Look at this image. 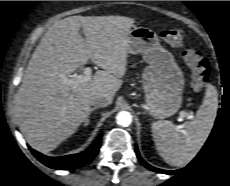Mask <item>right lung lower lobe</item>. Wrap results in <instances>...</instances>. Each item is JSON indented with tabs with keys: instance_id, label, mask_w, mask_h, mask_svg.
<instances>
[{
	"instance_id": "98d812e1",
	"label": "right lung lower lobe",
	"mask_w": 230,
	"mask_h": 186,
	"mask_svg": "<svg viewBox=\"0 0 230 186\" xmlns=\"http://www.w3.org/2000/svg\"><path fill=\"white\" fill-rule=\"evenodd\" d=\"M102 135H99L95 142L86 151L67 155L63 157H48L33 149V155L44 165L54 169H75L88 164L98 153Z\"/></svg>"
}]
</instances>
